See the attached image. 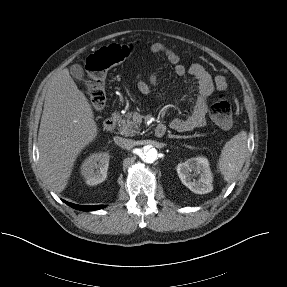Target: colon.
Returning <instances> with one entry per match:
<instances>
[{"mask_svg": "<svg viewBox=\"0 0 287 287\" xmlns=\"http://www.w3.org/2000/svg\"><path fill=\"white\" fill-rule=\"evenodd\" d=\"M132 44H110L89 55L85 62V87L92 106L101 109L106 100L105 77L114 65L126 60L133 52ZM211 119L219 127L232 125V108L223 96H218L210 107Z\"/></svg>", "mask_w": 287, "mask_h": 287, "instance_id": "5ec220e1", "label": "colon"}]
</instances>
